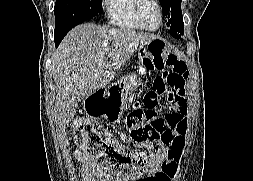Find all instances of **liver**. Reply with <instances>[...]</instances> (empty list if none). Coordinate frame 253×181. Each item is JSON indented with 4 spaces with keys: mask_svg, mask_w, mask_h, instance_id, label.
Segmentation results:
<instances>
[{
    "mask_svg": "<svg viewBox=\"0 0 253 181\" xmlns=\"http://www.w3.org/2000/svg\"><path fill=\"white\" fill-rule=\"evenodd\" d=\"M155 39L153 34L108 25L73 28L51 58L59 125L66 127L78 102L108 85L134 51Z\"/></svg>",
    "mask_w": 253,
    "mask_h": 181,
    "instance_id": "6515ba94",
    "label": "liver"
}]
</instances>
